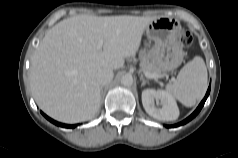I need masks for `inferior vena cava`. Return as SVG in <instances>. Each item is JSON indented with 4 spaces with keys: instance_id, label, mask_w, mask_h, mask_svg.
<instances>
[{
    "instance_id": "1",
    "label": "inferior vena cava",
    "mask_w": 238,
    "mask_h": 158,
    "mask_svg": "<svg viewBox=\"0 0 238 158\" xmlns=\"http://www.w3.org/2000/svg\"><path fill=\"white\" fill-rule=\"evenodd\" d=\"M113 79V70L110 68H101L97 73V81L101 86L109 84Z\"/></svg>"
}]
</instances>
